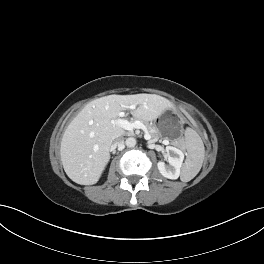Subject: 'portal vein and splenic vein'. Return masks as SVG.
Here are the masks:
<instances>
[{
    "label": "portal vein and splenic vein",
    "instance_id": "obj_1",
    "mask_svg": "<svg viewBox=\"0 0 264 264\" xmlns=\"http://www.w3.org/2000/svg\"><path fill=\"white\" fill-rule=\"evenodd\" d=\"M130 108L134 109L135 107L131 106ZM119 116L120 117L124 116V113L120 112ZM116 124L119 125L121 128H123L125 130H128V131H132L134 129H141V130L144 131L145 137L150 138L146 126L139 120H136L135 122L131 123V122L125 120V119L119 118V119L116 120Z\"/></svg>",
    "mask_w": 264,
    "mask_h": 264
}]
</instances>
